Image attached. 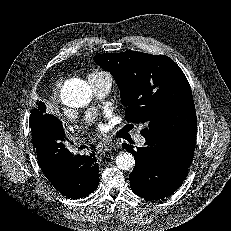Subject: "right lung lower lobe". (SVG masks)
I'll return each instance as SVG.
<instances>
[{"instance_id":"1","label":"right lung lower lobe","mask_w":231,"mask_h":231,"mask_svg":"<svg viewBox=\"0 0 231 231\" xmlns=\"http://www.w3.org/2000/svg\"><path fill=\"white\" fill-rule=\"evenodd\" d=\"M30 126L39 166L55 189L73 199L92 193L99 185L95 152L73 155L61 121L51 114H42Z\"/></svg>"}]
</instances>
